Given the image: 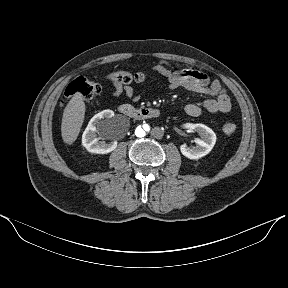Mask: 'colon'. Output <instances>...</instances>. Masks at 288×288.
I'll return each instance as SVG.
<instances>
[{"label": "colon", "mask_w": 288, "mask_h": 288, "mask_svg": "<svg viewBox=\"0 0 288 288\" xmlns=\"http://www.w3.org/2000/svg\"><path fill=\"white\" fill-rule=\"evenodd\" d=\"M109 79L115 83L128 85L133 82H141L145 75L141 72L131 73L128 71H117L109 75ZM100 92V86L84 77H78L71 81L65 90V97L80 96L85 100H91ZM223 132L226 135H232L236 131V124L232 121H226L223 124Z\"/></svg>", "instance_id": "obj_1"}]
</instances>
